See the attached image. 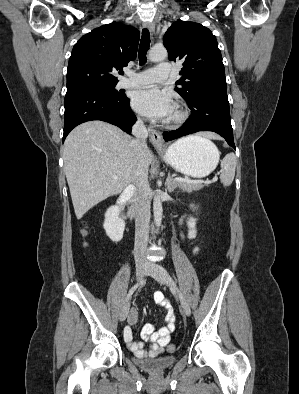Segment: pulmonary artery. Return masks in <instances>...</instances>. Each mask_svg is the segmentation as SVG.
<instances>
[{"mask_svg": "<svg viewBox=\"0 0 299 394\" xmlns=\"http://www.w3.org/2000/svg\"><path fill=\"white\" fill-rule=\"evenodd\" d=\"M170 65L158 64L155 68L147 69L139 73H128V77L121 79L118 88L148 87L154 83L166 80L170 76Z\"/></svg>", "mask_w": 299, "mask_h": 394, "instance_id": "e3ab8cb5", "label": "pulmonary artery"}]
</instances>
